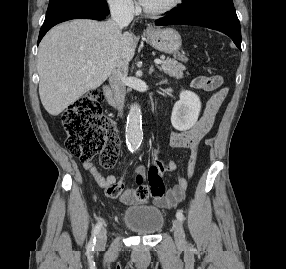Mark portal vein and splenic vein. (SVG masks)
<instances>
[{"instance_id":"obj_1","label":"portal vein and splenic vein","mask_w":286,"mask_h":269,"mask_svg":"<svg viewBox=\"0 0 286 269\" xmlns=\"http://www.w3.org/2000/svg\"><path fill=\"white\" fill-rule=\"evenodd\" d=\"M88 63L91 64L92 62H91V61H88ZM154 63H155V64H162V60H160V59H155V60H154Z\"/></svg>"}]
</instances>
